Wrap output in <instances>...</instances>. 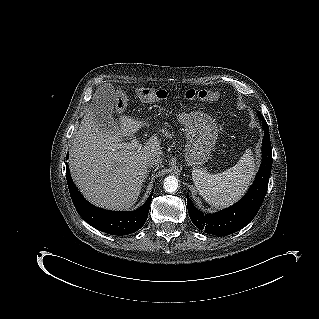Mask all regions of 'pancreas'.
<instances>
[{
	"mask_svg": "<svg viewBox=\"0 0 319 319\" xmlns=\"http://www.w3.org/2000/svg\"><path fill=\"white\" fill-rule=\"evenodd\" d=\"M167 127H164L161 132L163 133V136L167 137V138H172L173 133H171V131H169L170 127L169 125H166Z\"/></svg>",
	"mask_w": 319,
	"mask_h": 319,
	"instance_id": "1",
	"label": "pancreas"
}]
</instances>
